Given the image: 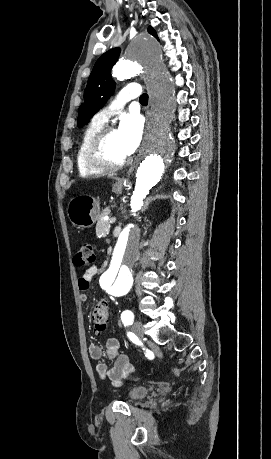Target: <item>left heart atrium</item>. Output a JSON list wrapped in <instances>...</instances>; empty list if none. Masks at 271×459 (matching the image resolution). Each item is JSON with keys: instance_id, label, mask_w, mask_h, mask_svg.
I'll return each mask as SVG.
<instances>
[{"instance_id": "obj_1", "label": "left heart atrium", "mask_w": 271, "mask_h": 459, "mask_svg": "<svg viewBox=\"0 0 271 459\" xmlns=\"http://www.w3.org/2000/svg\"><path fill=\"white\" fill-rule=\"evenodd\" d=\"M118 131L125 144L127 152H134L138 148L143 137V117L136 113L122 116Z\"/></svg>"}]
</instances>
